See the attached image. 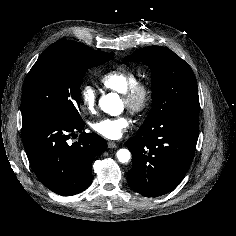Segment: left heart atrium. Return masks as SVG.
<instances>
[{
	"instance_id": "1",
	"label": "left heart atrium",
	"mask_w": 236,
	"mask_h": 236,
	"mask_svg": "<svg viewBox=\"0 0 236 236\" xmlns=\"http://www.w3.org/2000/svg\"><path fill=\"white\" fill-rule=\"evenodd\" d=\"M129 125V118L125 115H121L96 120L91 126L96 133L108 139L116 140L122 137Z\"/></svg>"
}]
</instances>
